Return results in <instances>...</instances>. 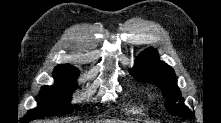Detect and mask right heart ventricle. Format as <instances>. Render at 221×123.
I'll return each mask as SVG.
<instances>
[{
    "label": "right heart ventricle",
    "mask_w": 221,
    "mask_h": 123,
    "mask_svg": "<svg viewBox=\"0 0 221 123\" xmlns=\"http://www.w3.org/2000/svg\"><path fill=\"white\" fill-rule=\"evenodd\" d=\"M129 111L132 113H140L142 111L141 104H134L129 107Z\"/></svg>",
    "instance_id": "1"
}]
</instances>
